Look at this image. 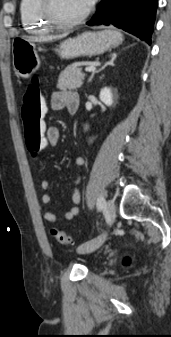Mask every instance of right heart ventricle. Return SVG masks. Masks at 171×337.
Masks as SVG:
<instances>
[{
	"instance_id": "obj_1",
	"label": "right heart ventricle",
	"mask_w": 171,
	"mask_h": 337,
	"mask_svg": "<svg viewBox=\"0 0 171 337\" xmlns=\"http://www.w3.org/2000/svg\"><path fill=\"white\" fill-rule=\"evenodd\" d=\"M20 17L26 31L45 32L51 27L42 16L40 0H20Z\"/></svg>"
}]
</instances>
